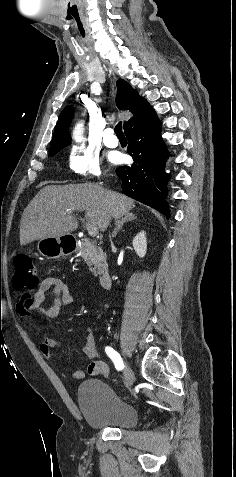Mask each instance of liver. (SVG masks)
<instances>
[{"mask_svg": "<svg viewBox=\"0 0 236 477\" xmlns=\"http://www.w3.org/2000/svg\"><path fill=\"white\" fill-rule=\"evenodd\" d=\"M134 207L131 198L95 184L45 186L22 214L20 244L68 235L78 228L75 211L85 212L89 224L105 231L111 218L118 220Z\"/></svg>", "mask_w": 236, "mask_h": 477, "instance_id": "1", "label": "liver"}]
</instances>
